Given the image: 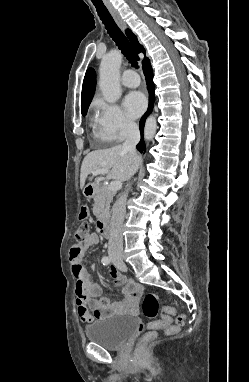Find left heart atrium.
I'll return each instance as SVG.
<instances>
[{"label": "left heart atrium", "instance_id": "left-heart-atrium-1", "mask_svg": "<svg viewBox=\"0 0 249 382\" xmlns=\"http://www.w3.org/2000/svg\"><path fill=\"white\" fill-rule=\"evenodd\" d=\"M146 105V98L139 91L130 92L124 100L126 111L133 118L140 116L144 112Z\"/></svg>", "mask_w": 249, "mask_h": 382}]
</instances>
